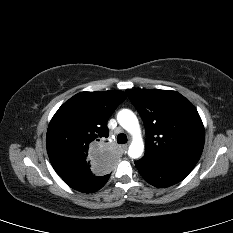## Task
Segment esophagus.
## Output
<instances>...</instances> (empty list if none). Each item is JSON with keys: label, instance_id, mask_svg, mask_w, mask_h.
I'll return each instance as SVG.
<instances>
[{"label": "esophagus", "instance_id": "obj_1", "mask_svg": "<svg viewBox=\"0 0 233 233\" xmlns=\"http://www.w3.org/2000/svg\"><path fill=\"white\" fill-rule=\"evenodd\" d=\"M128 146H129L128 144L122 145V146H121L122 151H123V152H126L127 149H128Z\"/></svg>", "mask_w": 233, "mask_h": 233}]
</instances>
